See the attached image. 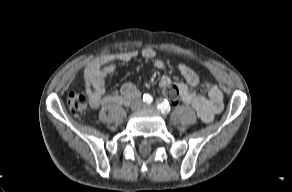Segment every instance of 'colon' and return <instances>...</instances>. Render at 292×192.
<instances>
[{"instance_id": "colon-1", "label": "colon", "mask_w": 292, "mask_h": 192, "mask_svg": "<svg viewBox=\"0 0 292 192\" xmlns=\"http://www.w3.org/2000/svg\"><path fill=\"white\" fill-rule=\"evenodd\" d=\"M160 92L173 103H178L179 97L176 92L169 87L161 88ZM67 104L72 114L79 116L83 114L88 106L87 94L84 91H71L67 96Z\"/></svg>"}]
</instances>
